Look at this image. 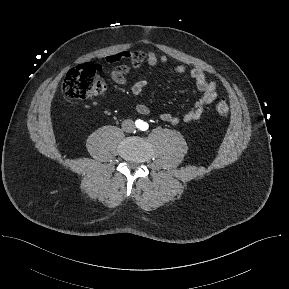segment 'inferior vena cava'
<instances>
[{"label":"inferior vena cava","instance_id":"inferior-vena-cava-1","mask_svg":"<svg viewBox=\"0 0 289 289\" xmlns=\"http://www.w3.org/2000/svg\"><path fill=\"white\" fill-rule=\"evenodd\" d=\"M122 129L125 132H133L135 130V124L133 122V120L131 119H126L122 122Z\"/></svg>","mask_w":289,"mask_h":289}]
</instances>
